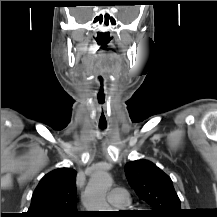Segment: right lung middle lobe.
<instances>
[{
    "instance_id": "right-lung-middle-lobe-1",
    "label": "right lung middle lobe",
    "mask_w": 217,
    "mask_h": 217,
    "mask_svg": "<svg viewBox=\"0 0 217 217\" xmlns=\"http://www.w3.org/2000/svg\"><path fill=\"white\" fill-rule=\"evenodd\" d=\"M78 215H64L62 217H77Z\"/></svg>"
}]
</instances>
